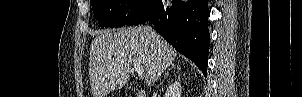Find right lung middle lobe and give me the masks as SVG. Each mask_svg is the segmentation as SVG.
<instances>
[{"instance_id":"right-lung-middle-lobe-1","label":"right lung middle lobe","mask_w":302,"mask_h":97,"mask_svg":"<svg viewBox=\"0 0 302 97\" xmlns=\"http://www.w3.org/2000/svg\"><path fill=\"white\" fill-rule=\"evenodd\" d=\"M149 0H90L101 28L127 25Z\"/></svg>"}]
</instances>
